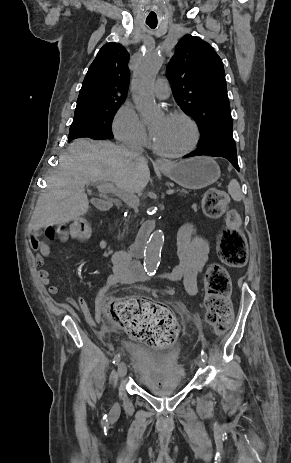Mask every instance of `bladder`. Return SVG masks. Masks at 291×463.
<instances>
[{"label": "bladder", "mask_w": 291, "mask_h": 463, "mask_svg": "<svg viewBox=\"0 0 291 463\" xmlns=\"http://www.w3.org/2000/svg\"><path fill=\"white\" fill-rule=\"evenodd\" d=\"M136 366V377L140 384L148 389L164 387L181 388L185 385L182 375H169L166 366L174 360V356L160 357L146 346L128 340L124 344Z\"/></svg>", "instance_id": "31cf9c89"}]
</instances>
